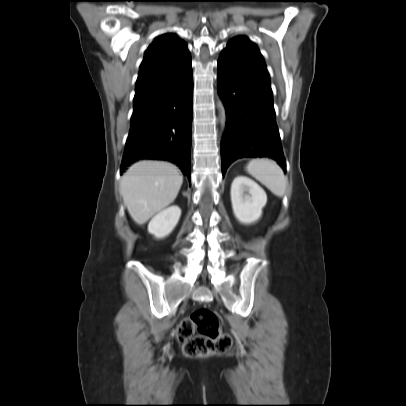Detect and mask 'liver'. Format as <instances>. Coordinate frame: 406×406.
<instances>
[{"mask_svg":"<svg viewBox=\"0 0 406 406\" xmlns=\"http://www.w3.org/2000/svg\"><path fill=\"white\" fill-rule=\"evenodd\" d=\"M182 183L183 176L175 165L144 160L124 174L120 193L132 219L142 225L175 200Z\"/></svg>","mask_w":406,"mask_h":406,"instance_id":"6515ba94","label":"liver"}]
</instances>
